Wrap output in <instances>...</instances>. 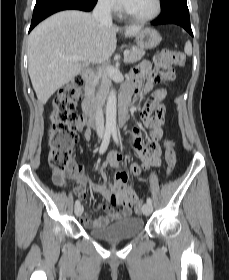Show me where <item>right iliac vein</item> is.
Returning a JSON list of instances; mask_svg holds the SVG:
<instances>
[{"mask_svg": "<svg viewBox=\"0 0 229 280\" xmlns=\"http://www.w3.org/2000/svg\"><path fill=\"white\" fill-rule=\"evenodd\" d=\"M83 212V206L82 205H79V206H76L75 207V215L76 216H80Z\"/></svg>", "mask_w": 229, "mask_h": 280, "instance_id": "obj_1", "label": "right iliac vein"}]
</instances>
